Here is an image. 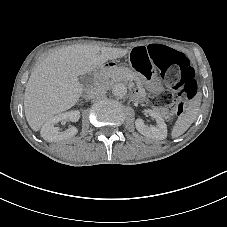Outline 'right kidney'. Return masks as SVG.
Returning a JSON list of instances; mask_svg holds the SVG:
<instances>
[{
  "mask_svg": "<svg viewBox=\"0 0 227 227\" xmlns=\"http://www.w3.org/2000/svg\"><path fill=\"white\" fill-rule=\"evenodd\" d=\"M80 118V112L78 110L68 111L62 114H58L48 119L41 128V137L48 142H59L62 140H67L78 133V129L74 126L60 132L59 127L55 125L60 121H71L77 122Z\"/></svg>",
  "mask_w": 227,
  "mask_h": 227,
  "instance_id": "obj_1",
  "label": "right kidney"
}]
</instances>
